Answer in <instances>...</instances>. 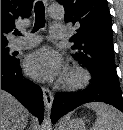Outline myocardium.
I'll return each mask as SVG.
<instances>
[{
  "instance_id": "myocardium-1",
  "label": "myocardium",
  "mask_w": 123,
  "mask_h": 130,
  "mask_svg": "<svg viewBox=\"0 0 123 130\" xmlns=\"http://www.w3.org/2000/svg\"><path fill=\"white\" fill-rule=\"evenodd\" d=\"M90 79L91 75L87 69L79 65H74L68 69L61 83L66 89L78 90L86 87Z\"/></svg>"
}]
</instances>
